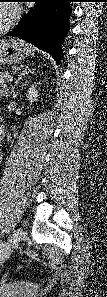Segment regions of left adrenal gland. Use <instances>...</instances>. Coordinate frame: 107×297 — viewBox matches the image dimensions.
Wrapping results in <instances>:
<instances>
[{
  "instance_id": "left-adrenal-gland-1",
  "label": "left adrenal gland",
  "mask_w": 107,
  "mask_h": 297,
  "mask_svg": "<svg viewBox=\"0 0 107 297\" xmlns=\"http://www.w3.org/2000/svg\"><path fill=\"white\" fill-rule=\"evenodd\" d=\"M35 69H30L28 66H25L22 70V72H20V74L18 75L17 80L15 81L14 86H12L11 88V92H14L15 87L19 84V82L21 81V79L23 77H25L26 75H29L30 73H34Z\"/></svg>"
}]
</instances>
